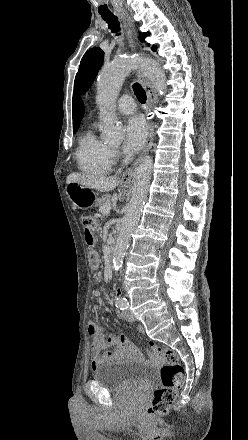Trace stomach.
Wrapping results in <instances>:
<instances>
[{
  "mask_svg": "<svg viewBox=\"0 0 248 440\" xmlns=\"http://www.w3.org/2000/svg\"><path fill=\"white\" fill-rule=\"evenodd\" d=\"M67 194L72 203L80 209L91 207L97 201L96 193L91 188L79 183L68 184Z\"/></svg>",
  "mask_w": 248,
  "mask_h": 440,
  "instance_id": "1",
  "label": "stomach"
}]
</instances>
